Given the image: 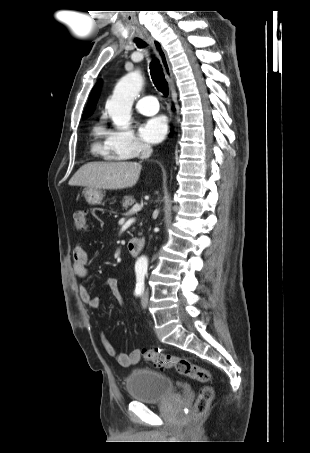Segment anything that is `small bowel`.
Instances as JSON below:
<instances>
[{
  "label": "small bowel",
  "instance_id": "1",
  "mask_svg": "<svg viewBox=\"0 0 310 453\" xmlns=\"http://www.w3.org/2000/svg\"><path fill=\"white\" fill-rule=\"evenodd\" d=\"M73 273L79 280V295L81 299L92 309H99L101 306L100 298L93 296L82 281L88 276V251L83 244L75 246L73 251ZM111 290L114 298L119 304L123 303V297L118 288V279L116 277H108L102 284ZM103 348L108 356L114 358L117 363L122 367H131L137 364L141 358V351L136 349L130 353L118 352L115 346L107 339L104 334L100 336Z\"/></svg>",
  "mask_w": 310,
  "mask_h": 453
}]
</instances>
